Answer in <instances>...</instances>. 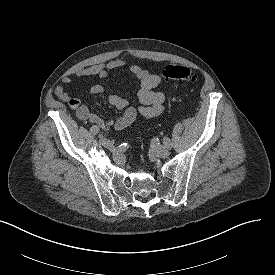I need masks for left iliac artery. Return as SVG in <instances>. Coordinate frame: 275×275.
Returning a JSON list of instances; mask_svg holds the SVG:
<instances>
[{"label":"left iliac artery","mask_w":275,"mask_h":275,"mask_svg":"<svg viewBox=\"0 0 275 275\" xmlns=\"http://www.w3.org/2000/svg\"><path fill=\"white\" fill-rule=\"evenodd\" d=\"M163 143H164L165 147L168 148V149H170L171 146H172V144L170 142V139H168V138H164Z\"/></svg>","instance_id":"1"}]
</instances>
